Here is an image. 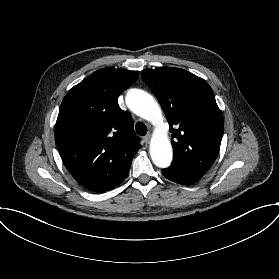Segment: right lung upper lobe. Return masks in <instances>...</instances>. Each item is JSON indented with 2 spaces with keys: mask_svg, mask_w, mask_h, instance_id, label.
<instances>
[{
  "mask_svg": "<svg viewBox=\"0 0 279 279\" xmlns=\"http://www.w3.org/2000/svg\"><path fill=\"white\" fill-rule=\"evenodd\" d=\"M138 78L134 71L104 68L86 77L64 97L55 127V143L73 178L103 193L124 181L140 149L133 120L117 103Z\"/></svg>",
  "mask_w": 279,
  "mask_h": 279,
  "instance_id": "1",
  "label": "right lung upper lobe"
}]
</instances>
